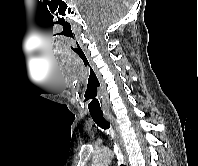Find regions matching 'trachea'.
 <instances>
[{
    "instance_id": "3493384b",
    "label": "trachea",
    "mask_w": 198,
    "mask_h": 166,
    "mask_svg": "<svg viewBox=\"0 0 198 166\" xmlns=\"http://www.w3.org/2000/svg\"><path fill=\"white\" fill-rule=\"evenodd\" d=\"M91 117L93 121L99 126L100 128L107 130L110 128V123L105 119L102 113H91ZM121 166H124L121 164Z\"/></svg>"
}]
</instances>
